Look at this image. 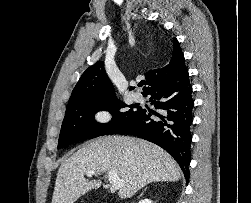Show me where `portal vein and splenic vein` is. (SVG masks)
Wrapping results in <instances>:
<instances>
[{
	"label": "portal vein and splenic vein",
	"mask_w": 251,
	"mask_h": 203,
	"mask_svg": "<svg viewBox=\"0 0 251 203\" xmlns=\"http://www.w3.org/2000/svg\"><path fill=\"white\" fill-rule=\"evenodd\" d=\"M95 174L94 171L86 172V176L92 177ZM108 180L114 190H118L122 186V180L118 177L115 172H108Z\"/></svg>",
	"instance_id": "obj_1"
}]
</instances>
